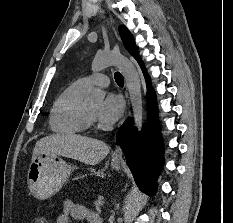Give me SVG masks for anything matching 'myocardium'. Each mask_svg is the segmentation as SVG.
Returning <instances> with one entry per match:
<instances>
[{
  "label": "myocardium",
  "instance_id": "myocardium-1",
  "mask_svg": "<svg viewBox=\"0 0 233 223\" xmlns=\"http://www.w3.org/2000/svg\"><path fill=\"white\" fill-rule=\"evenodd\" d=\"M81 118H82V125L84 127V129H89V128H93L96 126V118H94L88 108L87 105L84 103L83 107H82V112H81Z\"/></svg>",
  "mask_w": 233,
  "mask_h": 223
}]
</instances>
